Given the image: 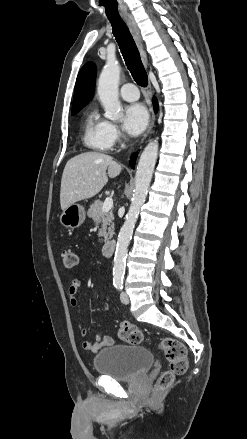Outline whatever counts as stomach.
<instances>
[{
    "mask_svg": "<svg viewBox=\"0 0 247 439\" xmlns=\"http://www.w3.org/2000/svg\"><path fill=\"white\" fill-rule=\"evenodd\" d=\"M85 217V208L83 206L71 204L63 210L60 222L66 228L75 229L83 224Z\"/></svg>",
    "mask_w": 247,
    "mask_h": 439,
    "instance_id": "obj_1",
    "label": "stomach"
}]
</instances>
